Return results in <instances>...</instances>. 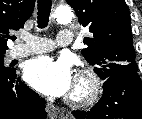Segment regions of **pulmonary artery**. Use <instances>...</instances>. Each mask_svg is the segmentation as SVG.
Segmentation results:
<instances>
[{
	"instance_id": "e3ab8cb5",
	"label": "pulmonary artery",
	"mask_w": 142,
	"mask_h": 119,
	"mask_svg": "<svg viewBox=\"0 0 142 119\" xmlns=\"http://www.w3.org/2000/svg\"><path fill=\"white\" fill-rule=\"evenodd\" d=\"M21 39L24 44L16 45L9 51L10 58H21L32 54L52 51L61 46H68L72 43L73 35L71 31L62 29L56 40L38 38L33 35L24 34Z\"/></svg>"
}]
</instances>
